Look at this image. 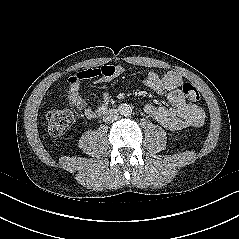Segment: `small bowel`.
I'll return each mask as SVG.
<instances>
[{"instance_id": "c3829d8e", "label": "small bowel", "mask_w": 239, "mask_h": 239, "mask_svg": "<svg viewBox=\"0 0 239 239\" xmlns=\"http://www.w3.org/2000/svg\"><path fill=\"white\" fill-rule=\"evenodd\" d=\"M124 71L125 69L121 65H104L97 69L76 72L68 80L69 102L75 108L83 110L86 117H95L105 111L110 101V95L106 91L102 92L101 105L96 109H91L87 107V103L81 94L82 82L90 79L96 83L110 82L120 78ZM145 84L153 91L164 94L171 104V107H164L147 103L143 107L144 112L152 116L163 127L172 131H179L199 127L203 124L204 111L200 106L190 104L185 100V96L180 89L182 78L179 74L168 72L159 75L154 71H149L145 78Z\"/></svg>"}]
</instances>
